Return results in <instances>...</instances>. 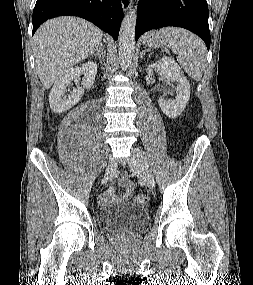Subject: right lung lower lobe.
Segmentation results:
<instances>
[{"label": "right lung lower lobe", "mask_w": 253, "mask_h": 285, "mask_svg": "<svg viewBox=\"0 0 253 285\" xmlns=\"http://www.w3.org/2000/svg\"><path fill=\"white\" fill-rule=\"evenodd\" d=\"M78 16L97 25L116 40L123 18L120 0H37L33 10V32L46 20Z\"/></svg>", "instance_id": "1"}]
</instances>
